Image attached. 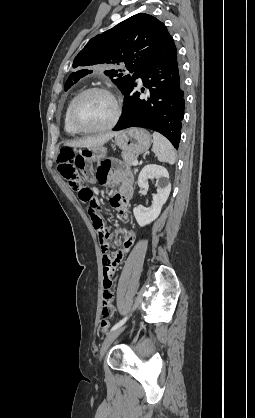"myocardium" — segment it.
<instances>
[{
  "label": "myocardium",
  "instance_id": "f54148a6",
  "mask_svg": "<svg viewBox=\"0 0 255 418\" xmlns=\"http://www.w3.org/2000/svg\"><path fill=\"white\" fill-rule=\"evenodd\" d=\"M91 93L105 94L113 101L114 114H113V117L111 118V120L106 125H103V126H100V127L88 128V127L80 126L76 121V112H77V109H78V106H79L80 102L87 95H89ZM120 116H121V104H120L119 100L117 99V97L114 95L113 92H111L109 89L104 88V87H90V88H87V89L81 91L76 96V98L74 99V101L71 105L70 111H69V123L73 127V129H75L79 133H100V132L108 131V130L112 129L113 127H115V125L117 124Z\"/></svg>",
  "mask_w": 255,
  "mask_h": 418
}]
</instances>
